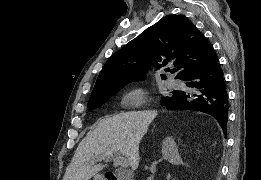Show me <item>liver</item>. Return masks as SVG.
Returning a JSON list of instances; mask_svg holds the SVG:
<instances>
[{"instance_id":"6515ba94","label":"liver","mask_w":261,"mask_h":180,"mask_svg":"<svg viewBox=\"0 0 261 180\" xmlns=\"http://www.w3.org/2000/svg\"><path fill=\"white\" fill-rule=\"evenodd\" d=\"M155 116L153 110L105 116L80 142L68 168L69 180H90L105 168L96 164L100 156H113L115 152L126 156L131 170H137L139 144Z\"/></svg>"}]
</instances>
